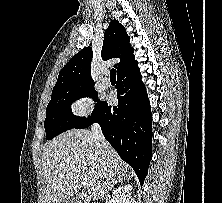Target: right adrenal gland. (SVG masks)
Listing matches in <instances>:
<instances>
[{
    "instance_id": "2a0ac1e0",
    "label": "right adrenal gland",
    "mask_w": 222,
    "mask_h": 203,
    "mask_svg": "<svg viewBox=\"0 0 222 203\" xmlns=\"http://www.w3.org/2000/svg\"><path fill=\"white\" fill-rule=\"evenodd\" d=\"M116 184H118V182H115V183L112 185V187H114Z\"/></svg>"
}]
</instances>
